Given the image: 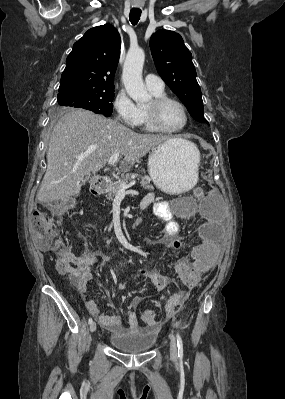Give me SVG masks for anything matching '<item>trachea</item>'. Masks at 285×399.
Listing matches in <instances>:
<instances>
[{
	"instance_id": "3493384b",
	"label": "trachea",
	"mask_w": 285,
	"mask_h": 399,
	"mask_svg": "<svg viewBox=\"0 0 285 399\" xmlns=\"http://www.w3.org/2000/svg\"><path fill=\"white\" fill-rule=\"evenodd\" d=\"M140 16H141V10L140 9H131L130 10V22L133 25H136L138 23V21L140 20Z\"/></svg>"
}]
</instances>
